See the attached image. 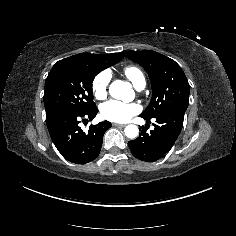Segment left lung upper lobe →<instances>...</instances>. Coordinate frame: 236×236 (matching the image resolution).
Returning <instances> with one entry per match:
<instances>
[{
	"mask_svg": "<svg viewBox=\"0 0 236 236\" xmlns=\"http://www.w3.org/2000/svg\"><path fill=\"white\" fill-rule=\"evenodd\" d=\"M124 53L130 60L144 67L151 81L152 98L140 117L152 118L173 107L187 109L190 85L174 60L152 50Z\"/></svg>",
	"mask_w": 236,
	"mask_h": 236,
	"instance_id": "5c2ea615",
	"label": "left lung upper lobe"
}]
</instances>
